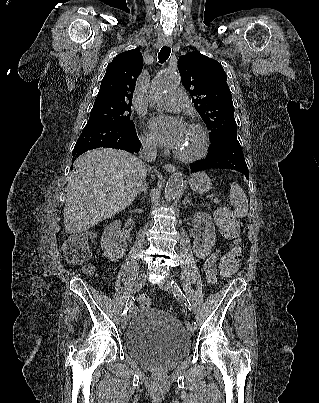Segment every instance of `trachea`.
I'll return each instance as SVG.
<instances>
[{
    "label": "trachea",
    "instance_id": "obj_1",
    "mask_svg": "<svg viewBox=\"0 0 319 403\" xmlns=\"http://www.w3.org/2000/svg\"><path fill=\"white\" fill-rule=\"evenodd\" d=\"M170 53H171V48L168 47V46H164V47L160 50V52H159V54H158L159 62H160V63L165 62V61L168 59V57L170 56Z\"/></svg>",
    "mask_w": 319,
    "mask_h": 403
}]
</instances>
